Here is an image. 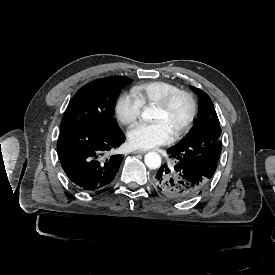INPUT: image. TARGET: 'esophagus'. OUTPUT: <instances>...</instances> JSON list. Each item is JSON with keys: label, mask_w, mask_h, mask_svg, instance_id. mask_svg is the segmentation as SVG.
I'll use <instances>...</instances> for the list:
<instances>
[{"label": "esophagus", "mask_w": 275, "mask_h": 275, "mask_svg": "<svg viewBox=\"0 0 275 275\" xmlns=\"http://www.w3.org/2000/svg\"><path fill=\"white\" fill-rule=\"evenodd\" d=\"M146 151L144 150H134L132 153L133 154H144Z\"/></svg>", "instance_id": "esophagus-1"}]
</instances>
